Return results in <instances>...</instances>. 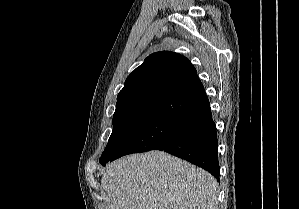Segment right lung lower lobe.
Returning <instances> with one entry per match:
<instances>
[{
	"label": "right lung lower lobe",
	"mask_w": 299,
	"mask_h": 209,
	"mask_svg": "<svg viewBox=\"0 0 299 209\" xmlns=\"http://www.w3.org/2000/svg\"><path fill=\"white\" fill-rule=\"evenodd\" d=\"M217 149L209 100L197 77L162 102L139 132L109 161L131 153L164 150L207 170L220 181Z\"/></svg>",
	"instance_id": "obj_1"
}]
</instances>
